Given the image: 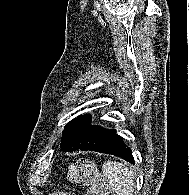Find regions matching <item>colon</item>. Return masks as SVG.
Instances as JSON below:
<instances>
[{"instance_id":"obj_1","label":"colon","mask_w":189,"mask_h":195,"mask_svg":"<svg viewBox=\"0 0 189 195\" xmlns=\"http://www.w3.org/2000/svg\"><path fill=\"white\" fill-rule=\"evenodd\" d=\"M67 170L71 181L88 186V195H109L107 179L95 173L89 159L81 158L69 165ZM54 195H66V193L56 192Z\"/></svg>"}]
</instances>
